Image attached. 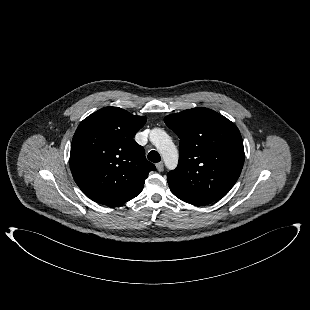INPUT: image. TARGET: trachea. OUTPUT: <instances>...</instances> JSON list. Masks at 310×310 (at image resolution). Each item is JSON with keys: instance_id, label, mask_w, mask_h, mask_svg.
Wrapping results in <instances>:
<instances>
[{"instance_id": "trachea-1", "label": "trachea", "mask_w": 310, "mask_h": 310, "mask_svg": "<svg viewBox=\"0 0 310 310\" xmlns=\"http://www.w3.org/2000/svg\"><path fill=\"white\" fill-rule=\"evenodd\" d=\"M147 158L151 161V162H154V163H157V162H160L161 161V157H160V154L155 151V150H152L149 152Z\"/></svg>"}]
</instances>
